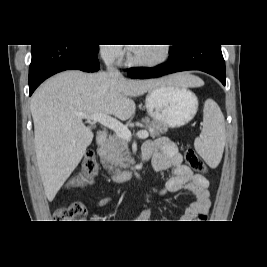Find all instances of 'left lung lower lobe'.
<instances>
[{"label":"left lung lower lobe","instance_id":"0a47b994","mask_svg":"<svg viewBox=\"0 0 267 267\" xmlns=\"http://www.w3.org/2000/svg\"><path fill=\"white\" fill-rule=\"evenodd\" d=\"M169 54L168 62L156 67L130 68L129 77L148 79L180 71L200 70L215 76L225 85L226 72L221 45H173Z\"/></svg>","mask_w":267,"mask_h":267}]
</instances>
